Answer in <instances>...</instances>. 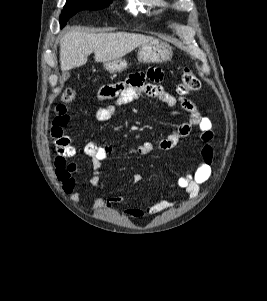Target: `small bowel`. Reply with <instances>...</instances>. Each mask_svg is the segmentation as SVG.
I'll use <instances>...</instances> for the list:
<instances>
[{
  "label": "small bowel",
  "mask_w": 267,
  "mask_h": 301,
  "mask_svg": "<svg viewBox=\"0 0 267 301\" xmlns=\"http://www.w3.org/2000/svg\"><path fill=\"white\" fill-rule=\"evenodd\" d=\"M163 79V74L159 69H149L146 72H136L130 74L124 81L102 86L97 91V100L100 103L96 111V118L99 121H107L113 117L117 106L129 104L137 100L140 96L158 99L164 102L169 108H175L180 103L181 107L188 113L187 122L174 129L166 138L158 143L146 141L141 145L129 150L131 154L145 155L155 151H169L174 149L179 141L186 137L193 127L200 131V141L202 142L201 156L193 169L186 170L179 176L173 186L181 189L189 199H193L201 192V186L213 177L212 161L213 151L210 143L214 137L212 121L202 116L195 104L186 98L179 100L169 94L159 83ZM150 80V82H146ZM114 100V104L107 102ZM70 116L65 104H59L55 109V119L51 129V137L56 146V156L54 159L55 174L64 192L78 201L76 190V180L74 175L78 167L68 159L76 154L75 147L71 144L68 136L64 134V128L68 124ZM115 148L111 144H99L90 141L85 144L83 152L92 161L93 173L89 179V184L104 193V198H98L97 207L114 208L115 205L124 203L121 196H109L104 183L100 177V169L103 161L113 154ZM142 176L136 174L133 177L135 184L140 183ZM173 204L171 199H162L149 204L146 209L129 208L125 213L132 217H142L144 215H157L168 210Z\"/></svg>",
  "instance_id": "obj_1"
}]
</instances>
